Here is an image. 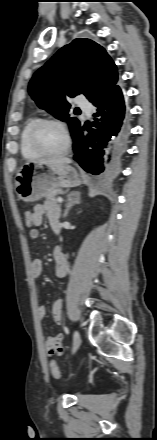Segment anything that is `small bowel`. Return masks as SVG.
<instances>
[{
	"mask_svg": "<svg viewBox=\"0 0 157 440\" xmlns=\"http://www.w3.org/2000/svg\"><path fill=\"white\" fill-rule=\"evenodd\" d=\"M33 215L35 219V226L29 231V236L32 239L39 237V230L36 228L43 223L44 216L47 215L48 222L52 230L55 227L59 228L60 219V207L53 201H46L45 203L36 204L33 209ZM53 256L56 262V274L59 277H64L69 268L68 256L57 246L54 249ZM42 261L40 259H34L31 264V272L34 278L40 277L42 273ZM52 318L57 325H61L63 322L64 304L62 300H56L52 304ZM46 316V308L43 305L38 307V317L43 320ZM63 334L59 333L53 337H47L45 340V347L51 353L52 350L59 346L62 347Z\"/></svg>",
	"mask_w": 157,
	"mask_h": 440,
	"instance_id": "1",
	"label": "small bowel"
}]
</instances>
